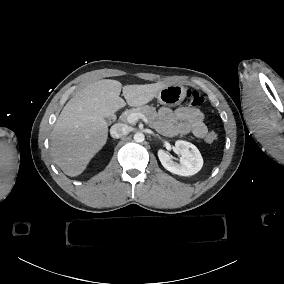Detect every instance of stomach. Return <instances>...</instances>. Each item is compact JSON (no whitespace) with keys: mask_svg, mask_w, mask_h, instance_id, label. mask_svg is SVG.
<instances>
[{"mask_svg":"<svg viewBox=\"0 0 284 284\" xmlns=\"http://www.w3.org/2000/svg\"><path fill=\"white\" fill-rule=\"evenodd\" d=\"M187 96V89L183 85H168L161 90L157 99L161 105L175 107L180 105Z\"/></svg>","mask_w":284,"mask_h":284,"instance_id":"obj_1","label":"stomach"}]
</instances>
